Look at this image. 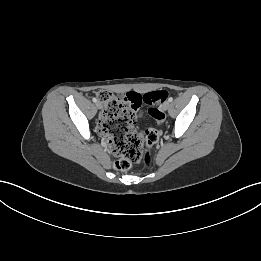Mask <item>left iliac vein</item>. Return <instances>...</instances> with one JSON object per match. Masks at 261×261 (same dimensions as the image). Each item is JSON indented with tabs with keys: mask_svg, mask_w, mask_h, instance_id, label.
I'll list each match as a JSON object with an SVG mask.
<instances>
[{
	"mask_svg": "<svg viewBox=\"0 0 261 261\" xmlns=\"http://www.w3.org/2000/svg\"><path fill=\"white\" fill-rule=\"evenodd\" d=\"M169 107H170L169 101H165V102L163 103V105H162V108H163V110H165V111L168 110Z\"/></svg>",
	"mask_w": 261,
	"mask_h": 261,
	"instance_id": "left-iliac-vein-1",
	"label": "left iliac vein"
}]
</instances>
